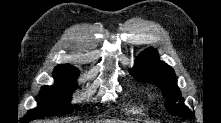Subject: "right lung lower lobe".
Here are the masks:
<instances>
[{
	"label": "right lung lower lobe",
	"mask_w": 221,
	"mask_h": 123,
	"mask_svg": "<svg viewBox=\"0 0 221 123\" xmlns=\"http://www.w3.org/2000/svg\"><path fill=\"white\" fill-rule=\"evenodd\" d=\"M25 120H26V121H30V119H26V118H25Z\"/></svg>",
	"instance_id": "1"
}]
</instances>
